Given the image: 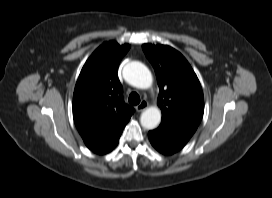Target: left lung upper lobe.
<instances>
[{"label":"left lung upper lobe","mask_w":272,"mask_h":198,"mask_svg":"<svg viewBox=\"0 0 272 198\" xmlns=\"http://www.w3.org/2000/svg\"><path fill=\"white\" fill-rule=\"evenodd\" d=\"M159 86L162 122L195 132L204 112L200 82L187 60L167 45H142Z\"/></svg>","instance_id":"left-lung-upper-lobe-1"}]
</instances>
